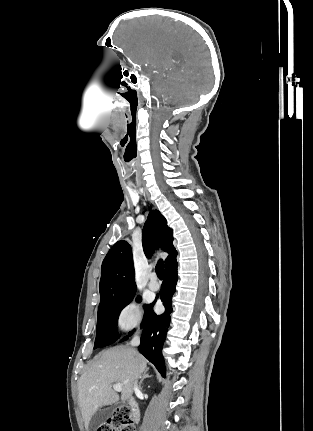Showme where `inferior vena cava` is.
<instances>
[{"mask_svg":"<svg viewBox=\"0 0 313 431\" xmlns=\"http://www.w3.org/2000/svg\"><path fill=\"white\" fill-rule=\"evenodd\" d=\"M140 344V337H139V335L138 334H135L134 335V337L132 338V340H131V346H133V347H135V346H138ZM138 388H139V386H138V384H137V380L134 382V385H133V389L135 390V391H137L138 390Z\"/></svg>","mask_w":313,"mask_h":431,"instance_id":"obj_1","label":"inferior vena cava"}]
</instances>
